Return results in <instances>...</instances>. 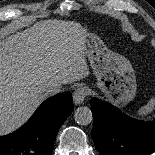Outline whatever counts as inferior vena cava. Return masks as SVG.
Returning <instances> with one entry per match:
<instances>
[{
    "mask_svg": "<svg viewBox=\"0 0 155 155\" xmlns=\"http://www.w3.org/2000/svg\"><path fill=\"white\" fill-rule=\"evenodd\" d=\"M61 90H62L61 85L53 83V84H50V85L46 86L44 88L43 92H44L45 96L47 97V96H52L54 94H57Z\"/></svg>",
    "mask_w": 155,
    "mask_h": 155,
    "instance_id": "inferior-vena-cava-1",
    "label": "inferior vena cava"
}]
</instances>
